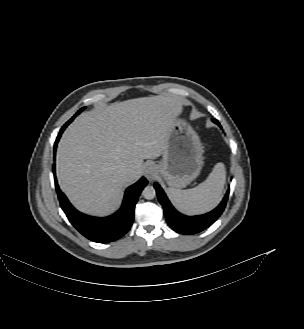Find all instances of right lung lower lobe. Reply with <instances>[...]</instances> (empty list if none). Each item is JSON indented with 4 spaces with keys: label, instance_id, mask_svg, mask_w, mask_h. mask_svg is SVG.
<instances>
[{
    "label": "right lung lower lobe",
    "instance_id": "1",
    "mask_svg": "<svg viewBox=\"0 0 304 329\" xmlns=\"http://www.w3.org/2000/svg\"><path fill=\"white\" fill-rule=\"evenodd\" d=\"M64 130L65 128L62 127L56 138L54 156L56 152V144ZM54 180L61 208L71 224L83 236L98 243L115 241L128 232L134 219V208L138 197L143 188L147 185V180L142 177L138 182L126 189L122 206L118 212L106 218H96L80 213L70 204L57 184L55 171Z\"/></svg>",
    "mask_w": 304,
    "mask_h": 329
}]
</instances>
